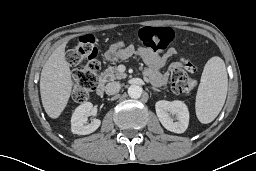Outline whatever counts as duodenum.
<instances>
[{
	"mask_svg": "<svg viewBox=\"0 0 256 171\" xmlns=\"http://www.w3.org/2000/svg\"><path fill=\"white\" fill-rule=\"evenodd\" d=\"M105 92V81L104 79H100L96 86V93L98 95H103Z\"/></svg>",
	"mask_w": 256,
	"mask_h": 171,
	"instance_id": "obj_1",
	"label": "duodenum"
}]
</instances>
